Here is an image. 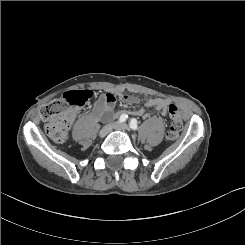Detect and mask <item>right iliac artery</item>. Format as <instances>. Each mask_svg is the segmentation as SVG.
Returning a JSON list of instances; mask_svg holds the SVG:
<instances>
[{
	"label": "right iliac artery",
	"instance_id": "obj_1",
	"mask_svg": "<svg viewBox=\"0 0 245 245\" xmlns=\"http://www.w3.org/2000/svg\"><path fill=\"white\" fill-rule=\"evenodd\" d=\"M128 115L126 113H123L119 118V123H123L127 120Z\"/></svg>",
	"mask_w": 245,
	"mask_h": 245
}]
</instances>
